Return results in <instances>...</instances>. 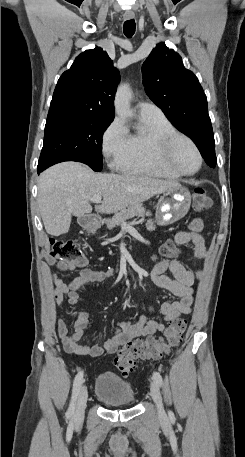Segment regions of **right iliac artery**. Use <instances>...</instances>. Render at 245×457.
Here are the masks:
<instances>
[{
  "mask_svg": "<svg viewBox=\"0 0 245 457\" xmlns=\"http://www.w3.org/2000/svg\"><path fill=\"white\" fill-rule=\"evenodd\" d=\"M82 383H83V372L80 371L76 375L74 383H73L72 398H71L69 409H68L67 414H66L67 417H70V416H72L74 414L76 400H77L79 391L81 389Z\"/></svg>",
  "mask_w": 245,
  "mask_h": 457,
  "instance_id": "1",
  "label": "right iliac artery"
}]
</instances>
